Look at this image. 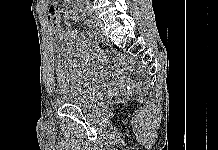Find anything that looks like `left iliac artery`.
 I'll return each mask as SVG.
<instances>
[{"mask_svg": "<svg viewBox=\"0 0 218 150\" xmlns=\"http://www.w3.org/2000/svg\"><path fill=\"white\" fill-rule=\"evenodd\" d=\"M85 26L88 27V30H93V20L89 19L88 22L85 23Z\"/></svg>", "mask_w": 218, "mask_h": 150, "instance_id": "left-iliac-artery-1", "label": "left iliac artery"}]
</instances>
